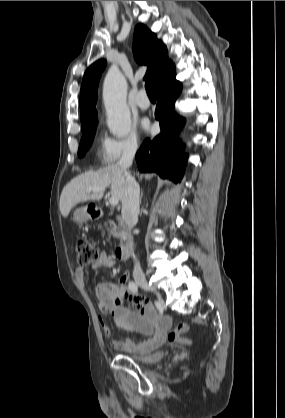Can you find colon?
I'll return each instance as SVG.
<instances>
[{
  "mask_svg": "<svg viewBox=\"0 0 285 418\" xmlns=\"http://www.w3.org/2000/svg\"><path fill=\"white\" fill-rule=\"evenodd\" d=\"M75 252L77 261L81 266H85L97 259V251L92 242L87 237H80L75 241ZM189 329L185 322H179L167 334V341L171 343L187 344L188 340L183 339L184 335Z\"/></svg>",
  "mask_w": 285,
  "mask_h": 418,
  "instance_id": "1",
  "label": "colon"
}]
</instances>
